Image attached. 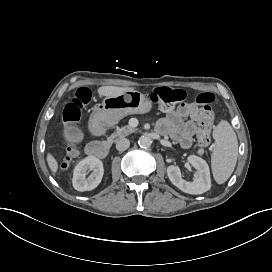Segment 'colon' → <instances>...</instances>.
Listing matches in <instances>:
<instances>
[{"label": "colon", "mask_w": 272, "mask_h": 272, "mask_svg": "<svg viewBox=\"0 0 272 272\" xmlns=\"http://www.w3.org/2000/svg\"><path fill=\"white\" fill-rule=\"evenodd\" d=\"M151 99L155 104L175 103L182 99V94L178 90H173L167 87H160L152 91ZM90 101V91L86 88H81L77 91L75 97L68 101L64 107L62 121L66 126H76L81 120L82 110ZM215 95L211 92L199 94L195 103L199 108L201 130L198 133V143L202 146H207L210 141V130L214 122L213 104ZM73 156L67 155L62 167H67Z\"/></svg>", "instance_id": "obj_1"}]
</instances>
